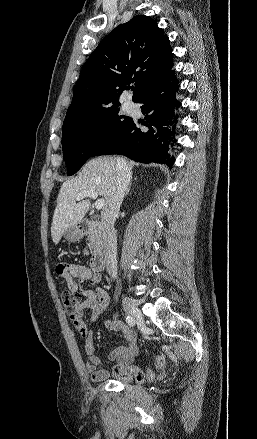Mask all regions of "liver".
<instances>
[{
	"instance_id": "obj_1",
	"label": "liver",
	"mask_w": 257,
	"mask_h": 439,
	"mask_svg": "<svg viewBox=\"0 0 257 439\" xmlns=\"http://www.w3.org/2000/svg\"><path fill=\"white\" fill-rule=\"evenodd\" d=\"M116 157H98L88 161L81 172L70 180L65 181L57 198V206L54 211L51 236L55 244H58L64 233L71 227L76 226L87 213L90 201L88 199L76 203L77 194L95 190L105 199L104 206L114 186L117 167ZM131 170L134 163L127 162Z\"/></svg>"
}]
</instances>
